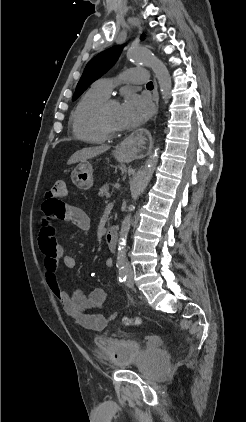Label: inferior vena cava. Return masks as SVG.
Segmentation results:
<instances>
[{"mask_svg":"<svg viewBox=\"0 0 246 422\" xmlns=\"http://www.w3.org/2000/svg\"><path fill=\"white\" fill-rule=\"evenodd\" d=\"M124 270L128 273H132V269H131L129 263H127V262L125 263Z\"/></svg>","mask_w":246,"mask_h":422,"instance_id":"inferior-vena-cava-1","label":"inferior vena cava"}]
</instances>
